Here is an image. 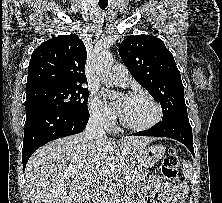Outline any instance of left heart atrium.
Here are the masks:
<instances>
[{
    "instance_id": "obj_1",
    "label": "left heart atrium",
    "mask_w": 222,
    "mask_h": 203,
    "mask_svg": "<svg viewBox=\"0 0 222 203\" xmlns=\"http://www.w3.org/2000/svg\"><path fill=\"white\" fill-rule=\"evenodd\" d=\"M116 108L117 110L120 112L121 111V108H122V101H121V98L118 100L117 104H116Z\"/></svg>"
}]
</instances>
